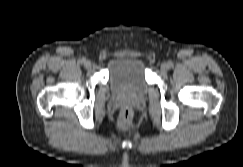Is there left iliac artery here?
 Wrapping results in <instances>:
<instances>
[{
	"mask_svg": "<svg viewBox=\"0 0 243 167\" xmlns=\"http://www.w3.org/2000/svg\"><path fill=\"white\" fill-rule=\"evenodd\" d=\"M169 67H173V63L172 62H169Z\"/></svg>",
	"mask_w": 243,
	"mask_h": 167,
	"instance_id": "44dca946",
	"label": "left iliac artery"
}]
</instances>
